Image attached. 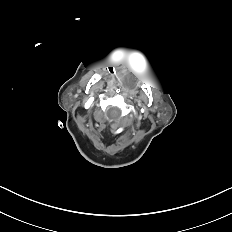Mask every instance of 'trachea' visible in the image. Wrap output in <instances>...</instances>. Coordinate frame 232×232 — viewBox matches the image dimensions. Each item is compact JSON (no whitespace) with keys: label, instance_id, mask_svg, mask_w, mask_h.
<instances>
[{"label":"trachea","instance_id":"3493384b","mask_svg":"<svg viewBox=\"0 0 232 232\" xmlns=\"http://www.w3.org/2000/svg\"><path fill=\"white\" fill-rule=\"evenodd\" d=\"M114 73H115V72H114L113 68H110V69H109V74H110L111 76H114Z\"/></svg>","mask_w":232,"mask_h":232}]
</instances>
